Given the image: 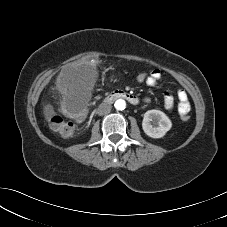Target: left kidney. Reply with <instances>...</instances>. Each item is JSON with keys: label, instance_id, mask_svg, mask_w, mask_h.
I'll list each match as a JSON object with an SVG mask.
<instances>
[{"label": "left kidney", "instance_id": "5707ae66", "mask_svg": "<svg viewBox=\"0 0 227 227\" xmlns=\"http://www.w3.org/2000/svg\"><path fill=\"white\" fill-rule=\"evenodd\" d=\"M172 127L170 119L160 110H149L144 114L142 128L151 138H162Z\"/></svg>", "mask_w": 227, "mask_h": 227}]
</instances>
